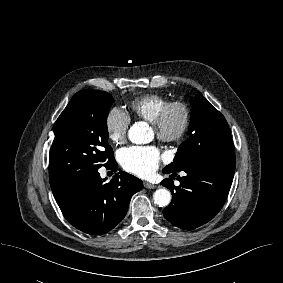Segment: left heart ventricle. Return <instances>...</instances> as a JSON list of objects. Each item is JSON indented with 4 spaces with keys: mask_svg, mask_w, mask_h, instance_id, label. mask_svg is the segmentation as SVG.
<instances>
[{
    "mask_svg": "<svg viewBox=\"0 0 283 283\" xmlns=\"http://www.w3.org/2000/svg\"><path fill=\"white\" fill-rule=\"evenodd\" d=\"M180 122V116L178 113H174L170 120L171 128H176Z\"/></svg>",
    "mask_w": 283,
    "mask_h": 283,
    "instance_id": "obj_1",
    "label": "left heart ventricle"
}]
</instances>
